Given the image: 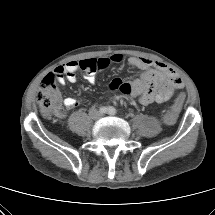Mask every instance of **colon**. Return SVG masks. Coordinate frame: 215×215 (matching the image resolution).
<instances>
[{
	"instance_id": "colon-1",
	"label": "colon",
	"mask_w": 215,
	"mask_h": 215,
	"mask_svg": "<svg viewBox=\"0 0 215 215\" xmlns=\"http://www.w3.org/2000/svg\"><path fill=\"white\" fill-rule=\"evenodd\" d=\"M37 100L43 115L50 118L53 111L56 110L59 104V91L55 84V76L48 74L42 83V88L38 92ZM182 103V98H179L174 105L172 111H168L164 116V123L171 125L175 122L177 111Z\"/></svg>"
}]
</instances>
